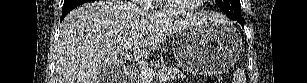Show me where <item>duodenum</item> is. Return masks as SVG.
<instances>
[{"mask_svg":"<svg viewBox=\"0 0 307 83\" xmlns=\"http://www.w3.org/2000/svg\"><path fill=\"white\" fill-rule=\"evenodd\" d=\"M131 73H132V71H131V70H129V71H128V74H131Z\"/></svg>","mask_w":307,"mask_h":83,"instance_id":"obj_1","label":"duodenum"}]
</instances>
